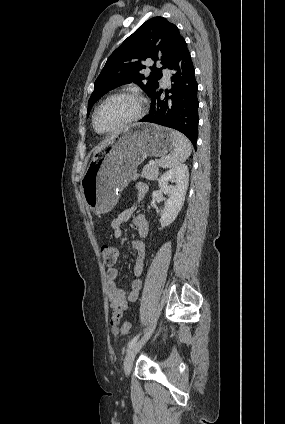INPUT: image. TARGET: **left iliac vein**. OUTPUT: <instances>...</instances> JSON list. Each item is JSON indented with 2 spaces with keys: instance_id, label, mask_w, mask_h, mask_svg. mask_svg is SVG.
I'll return each instance as SVG.
<instances>
[{
  "instance_id": "4c4485c4",
  "label": "left iliac vein",
  "mask_w": 285,
  "mask_h": 424,
  "mask_svg": "<svg viewBox=\"0 0 285 424\" xmlns=\"http://www.w3.org/2000/svg\"><path fill=\"white\" fill-rule=\"evenodd\" d=\"M155 326H153L138 342H136L131 348H129L125 359H124V371L125 375L128 377L131 372V367L133 363V359L137 352L140 350L142 345L149 339L151 334L153 333Z\"/></svg>"
}]
</instances>
